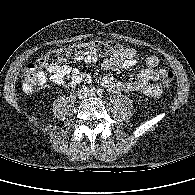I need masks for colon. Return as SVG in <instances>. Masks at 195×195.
<instances>
[{
	"label": "colon",
	"instance_id": "obj_1",
	"mask_svg": "<svg viewBox=\"0 0 195 195\" xmlns=\"http://www.w3.org/2000/svg\"><path fill=\"white\" fill-rule=\"evenodd\" d=\"M123 47L115 40H93L82 44H73L67 47L50 51L34 63L27 64L22 72V87L25 92H32L45 82L44 68L58 65L80 55H106L122 52ZM175 75L172 71H165L162 76L164 85L169 86L174 82Z\"/></svg>",
	"mask_w": 195,
	"mask_h": 195
}]
</instances>
